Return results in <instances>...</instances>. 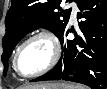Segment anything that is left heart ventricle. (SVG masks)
I'll list each match as a JSON object with an SVG mask.
<instances>
[{
    "label": "left heart ventricle",
    "instance_id": "left-heart-ventricle-1",
    "mask_svg": "<svg viewBox=\"0 0 107 89\" xmlns=\"http://www.w3.org/2000/svg\"><path fill=\"white\" fill-rule=\"evenodd\" d=\"M52 57V47L45 38H36L28 42L18 57V68L23 74L37 72L48 65Z\"/></svg>",
    "mask_w": 107,
    "mask_h": 89
}]
</instances>
